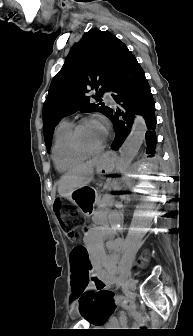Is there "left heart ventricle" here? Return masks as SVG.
I'll return each mask as SVG.
<instances>
[{
    "instance_id": "obj_1",
    "label": "left heart ventricle",
    "mask_w": 193,
    "mask_h": 336,
    "mask_svg": "<svg viewBox=\"0 0 193 336\" xmlns=\"http://www.w3.org/2000/svg\"><path fill=\"white\" fill-rule=\"evenodd\" d=\"M105 137V131L95 123H89L79 132L81 144L90 150L96 149L101 145Z\"/></svg>"
}]
</instances>
